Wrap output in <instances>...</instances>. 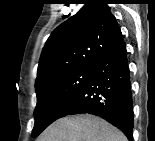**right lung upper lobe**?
I'll return each instance as SVG.
<instances>
[{"label":"right lung upper lobe","instance_id":"obj_1","mask_svg":"<svg viewBox=\"0 0 155 141\" xmlns=\"http://www.w3.org/2000/svg\"><path fill=\"white\" fill-rule=\"evenodd\" d=\"M122 36L110 8L93 0L58 26L48 38L39 61L36 85L76 68H94Z\"/></svg>","mask_w":155,"mask_h":141}]
</instances>
